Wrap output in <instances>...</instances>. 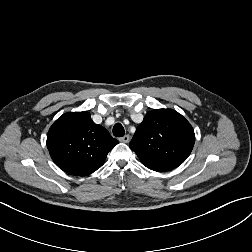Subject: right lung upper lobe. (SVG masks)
Instances as JSON below:
<instances>
[{"label":"right lung upper lobe","mask_w":252,"mask_h":252,"mask_svg":"<svg viewBox=\"0 0 252 252\" xmlns=\"http://www.w3.org/2000/svg\"><path fill=\"white\" fill-rule=\"evenodd\" d=\"M116 144L118 141L95 124L87 111L63 114L47 134V148L54 163L76 176L99 169Z\"/></svg>","instance_id":"obj_1"}]
</instances>
